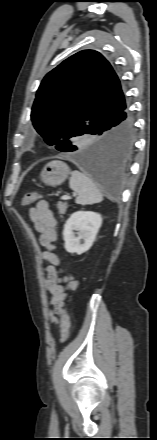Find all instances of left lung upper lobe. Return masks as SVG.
Masks as SVG:
<instances>
[{
  "mask_svg": "<svg viewBox=\"0 0 157 440\" xmlns=\"http://www.w3.org/2000/svg\"><path fill=\"white\" fill-rule=\"evenodd\" d=\"M125 103L110 63L97 51L83 50L44 77L31 120L48 145L64 151L74 145L76 137L93 135Z\"/></svg>",
  "mask_w": 157,
  "mask_h": 440,
  "instance_id": "5c2ea615",
  "label": "left lung upper lobe"
}]
</instances>
